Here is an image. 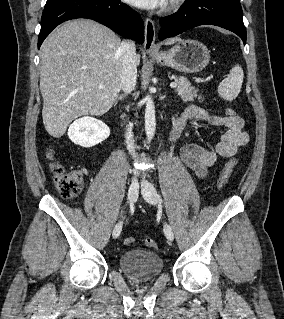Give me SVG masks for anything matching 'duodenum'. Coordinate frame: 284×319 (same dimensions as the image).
<instances>
[{
    "label": "duodenum",
    "instance_id": "410a0bca",
    "mask_svg": "<svg viewBox=\"0 0 284 319\" xmlns=\"http://www.w3.org/2000/svg\"><path fill=\"white\" fill-rule=\"evenodd\" d=\"M175 134H176V132L174 131V129H173V127H172L171 130H170V133H169L170 139H173L174 136H175Z\"/></svg>",
    "mask_w": 284,
    "mask_h": 319
}]
</instances>
